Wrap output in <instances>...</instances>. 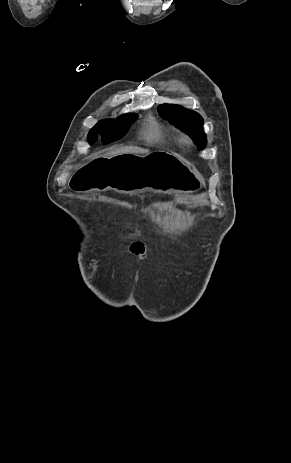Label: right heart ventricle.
I'll list each match as a JSON object with an SVG mask.
<instances>
[{"instance_id": "e07e8e85", "label": "right heart ventricle", "mask_w": 291, "mask_h": 463, "mask_svg": "<svg viewBox=\"0 0 291 463\" xmlns=\"http://www.w3.org/2000/svg\"><path fill=\"white\" fill-rule=\"evenodd\" d=\"M144 136L148 140L160 141L165 137V134L162 127L157 122L151 120L144 130Z\"/></svg>"}]
</instances>
